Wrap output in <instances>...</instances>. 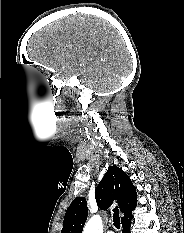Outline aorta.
Returning a JSON list of instances; mask_svg holds the SVG:
<instances>
[{
	"mask_svg": "<svg viewBox=\"0 0 184 233\" xmlns=\"http://www.w3.org/2000/svg\"><path fill=\"white\" fill-rule=\"evenodd\" d=\"M83 233H103V223L100 216L91 217L84 227Z\"/></svg>",
	"mask_w": 184,
	"mask_h": 233,
	"instance_id": "aorta-1",
	"label": "aorta"
}]
</instances>
